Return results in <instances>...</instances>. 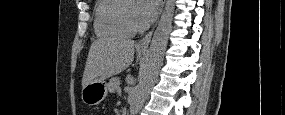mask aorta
<instances>
[{"label":"aorta","mask_w":285,"mask_h":115,"mask_svg":"<svg viewBox=\"0 0 285 115\" xmlns=\"http://www.w3.org/2000/svg\"><path fill=\"white\" fill-rule=\"evenodd\" d=\"M174 5V0L166 1L165 9L151 41L148 59L140 75L139 83L132 93L130 115H136L140 111L158 77L172 28Z\"/></svg>","instance_id":"aorta-1"}]
</instances>
